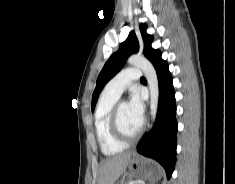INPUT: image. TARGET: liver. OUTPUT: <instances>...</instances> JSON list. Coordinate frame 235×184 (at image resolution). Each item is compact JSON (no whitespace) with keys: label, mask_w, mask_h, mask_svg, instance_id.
Wrapping results in <instances>:
<instances>
[{"label":"liver","mask_w":235,"mask_h":184,"mask_svg":"<svg viewBox=\"0 0 235 184\" xmlns=\"http://www.w3.org/2000/svg\"><path fill=\"white\" fill-rule=\"evenodd\" d=\"M132 154L133 152H125L102 160L99 166L98 184H114L124 174Z\"/></svg>","instance_id":"1"}]
</instances>
